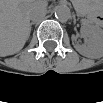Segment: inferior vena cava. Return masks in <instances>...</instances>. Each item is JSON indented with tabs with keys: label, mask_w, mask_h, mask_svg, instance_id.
Instances as JSON below:
<instances>
[{
	"label": "inferior vena cava",
	"mask_w": 103,
	"mask_h": 103,
	"mask_svg": "<svg viewBox=\"0 0 103 103\" xmlns=\"http://www.w3.org/2000/svg\"><path fill=\"white\" fill-rule=\"evenodd\" d=\"M44 8H39L30 12L29 17L33 21L41 20L45 16Z\"/></svg>",
	"instance_id": "602c4592"
}]
</instances>
